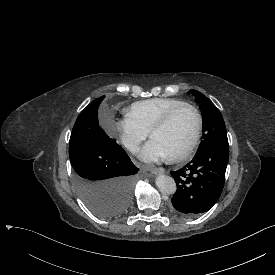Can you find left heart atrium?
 Segmentation results:
<instances>
[{
    "instance_id": "left-heart-atrium-1",
    "label": "left heart atrium",
    "mask_w": 275,
    "mask_h": 275,
    "mask_svg": "<svg viewBox=\"0 0 275 275\" xmlns=\"http://www.w3.org/2000/svg\"><path fill=\"white\" fill-rule=\"evenodd\" d=\"M167 152L153 139L145 146L141 158L146 162H158L168 158Z\"/></svg>"
}]
</instances>
